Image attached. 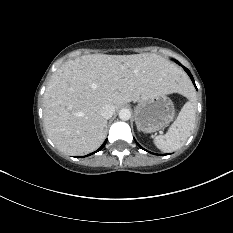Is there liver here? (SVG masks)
<instances>
[{"label": "liver", "instance_id": "6515ba94", "mask_svg": "<svg viewBox=\"0 0 233 233\" xmlns=\"http://www.w3.org/2000/svg\"><path fill=\"white\" fill-rule=\"evenodd\" d=\"M187 79L174 64L153 53L83 55L52 75L44 95L45 130L56 147L84 155L104 141L107 125L101 108L184 93Z\"/></svg>", "mask_w": 233, "mask_h": 233}]
</instances>
